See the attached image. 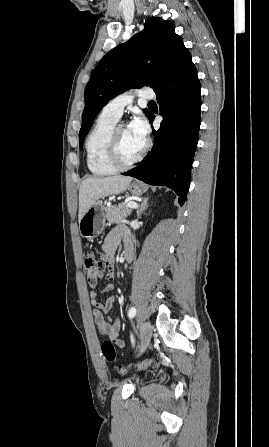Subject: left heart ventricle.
<instances>
[{
	"label": "left heart ventricle",
	"mask_w": 269,
	"mask_h": 447,
	"mask_svg": "<svg viewBox=\"0 0 269 447\" xmlns=\"http://www.w3.org/2000/svg\"><path fill=\"white\" fill-rule=\"evenodd\" d=\"M118 143L123 161L130 162L141 154L146 139L136 134L129 126H122L118 131Z\"/></svg>",
	"instance_id": "left-heart-ventricle-1"
}]
</instances>
